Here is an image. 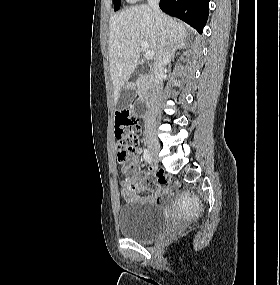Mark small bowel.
Here are the masks:
<instances>
[{
  "label": "small bowel",
  "instance_id": "obj_1",
  "mask_svg": "<svg viewBox=\"0 0 280 285\" xmlns=\"http://www.w3.org/2000/svg\"><path fill=\"white\" fill-rule=\"evenodd\" d=\"M123 173L134 172L140 174L139 160L133 156L126 159L122 165ZM153 182L147 176L134 177L130 182L123 183V190L127 199L141 198L146 202L161 204L163 202V188L157 186L155 193L141 197L138 194L145 192L147 186Z\"/></svg>",
  "mask_w": 280,
  "mask_h": 285
}]
</instances>
